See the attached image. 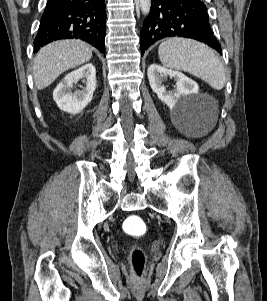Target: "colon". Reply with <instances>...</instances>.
Returning a JSON list of instances; mask_svg holds the SVG:
<instances>
[{
  "mask_svg": "<svg viewBox=\"0 0 267 301\" xmlns=\"http://www.w3.org/2000/svg\"><path fill=\"white\" fill-rule=\"evenodd\" d=\"M123 230L132 236H141L146 231L142 218L137 215L128 216L123 223ZM132 277L135 281H141L144 275L146 255L142 248L134 247L130 253Z\"/></svg>",
  "mask_w": 267,
  "mask_h": 301,
  "instance_id": "obj_1",
  "label": "colon"
}]
</instances>
